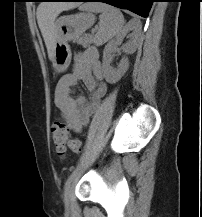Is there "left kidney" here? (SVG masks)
<instances>
[{"label":"left kidney","mask_w":202,"mask_h":217,"mask_svg":"<svg viewBox=\"0 0 202 217\" xmlns=\"http://www.w3.org/2000/svg\"><path fill=\"white\" fill-rule=\"evenodd\" d=\"M134 30L133 38L123 45V51L126 54H132L136 51L137 40L136 34L139 31L138 24L134 21L129 22L122 31L117 35L115 40L110 41L104 48L103 51V71L106 81L110 84L118 82L122 76L126 73L129 67V62L126 57L122 58L117 68L111 66L112 53L115 51L116 47L122 42L124 36L129 32ZM135 37V38H134Z\"/></svg>","instance_id":"left-kidney-1"}]
</instances>
